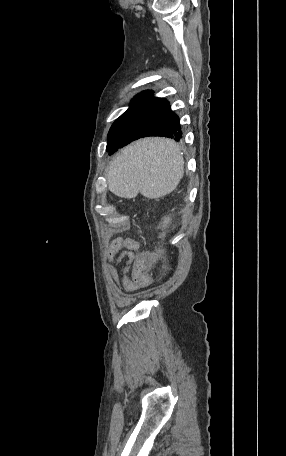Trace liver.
<instances>
[{"mask_svg":"<svg viewBox=\"0 0 286 456\" xmlns=\"http://www.w3.org/2000/svg\"><path fill=\"white\" fill-rule=\"evenodd\" d=\"M183 174L178 144L165 138H144L124 148L111 163L108 189L121 198L131 199L140 192L158 199L174 191Z\"/></svg>","mask_w":286,"mask_h":456,"instance_id":"1","label":"liver"}]
</instances>
